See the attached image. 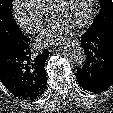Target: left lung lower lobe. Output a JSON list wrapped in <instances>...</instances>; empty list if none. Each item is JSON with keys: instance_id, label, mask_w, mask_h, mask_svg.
<instances>
[{"instance_id": "obj_1", "label": "left lung lower lobe", "mask_w": 113, "mask_h": 113, "mask_svg": "<svg viewBox=\"0 0 113 113\" xmlns=\"http://www.w3.org/2000/svg\"><path fill=\"white\" fill-rule=\"evenodd\" d=\"M86 53L82 68L77 70L80 87L90 92H102L113 84V24L81 36Z\"/></svg>"}]
</instances>
